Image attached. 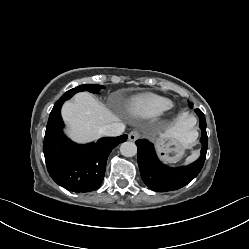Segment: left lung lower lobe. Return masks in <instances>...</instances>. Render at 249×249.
I'll return each instance as SVG.
<instances>
[{
  "label": "left lung lower lobe",
  "instance_id": "1",
  "mask_svg": "<svg viewBox=\"0 0 249 249\" xmlns=\"http://www.w3.org/2000/svg\"><path fill=\"white\" fill-rule=\"evenodd\" d=\"M195 112L200 119V128L202 136L201 156L194 163L171 168L162 164L156 156L154 146L146 139H139L135 143L138 148V165L143 182L152 190L157 192H166L176 190L187 185L201 171L208 147V138L206 133V119L202 111L196 109Z\"/></svg>",
  "mask_w": 249,
  "mask_h": 249
}]
</instances>
